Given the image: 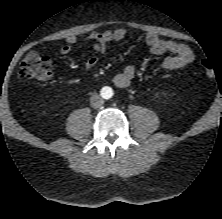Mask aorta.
Returning a JSON list of instances; mask_svg holds the SVG:
<instances>
[{
    "label": "aorta",
    "mask_w": 222,
    "mask_h": 219,
    "mask_svg": "<svg viewBox=\"0 0 222 219\" xmlns=\"http://www.w3.org/2000/svg\"><path fill=\"white\" fill-rule=\"evenodd\" d=\"M106 94H107L108 98L111 97L112 96V90L110 89L108 92H106Z\"/></svg>",
    "instance_id": "obj_1"
}]
</instances>
